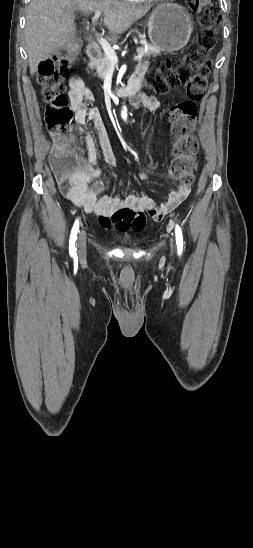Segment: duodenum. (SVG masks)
Instances as JSON below:
<instances>
[{"label":"duodenum","mask_w":253,"mask_h":548,"mask_svg":"<svg viewBox=\"0 0 253 548\" xmlns=\"http://www.w3.org/2000/svg\"><path fill=\"white\" fill-rule=\"evenodd\" d=\"M99 54H100V50L96 45L94 44L89 45L87 49V56L89 57V59L95 60L99 57ZM139 88H140V79L134 78L129 81L128 85L114 89L112 91V94L118 97H133L138 93Z\"/></svg>","instance_id":"obj_1"}]
</instances>
